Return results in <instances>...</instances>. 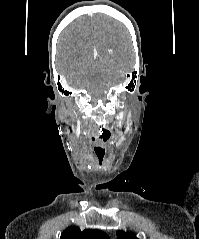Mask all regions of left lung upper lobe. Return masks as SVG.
<instances>
[{
	"label": "left lung upper lobe",
	"mask_w": 199,
	"mask_h": 239,
	"mask_svg": "<svg viewBox=\"0 0 199 239\" xmlns=\"http://www.w3.org/2000/svg\"><path fill=\"white\" fill-rule=\"evenodd\" d=\"M118 239H138L134 234H130L129 232L118 231L117 232Z\"/></svg>",
	"instance_id": "1"
}]
</instances>
